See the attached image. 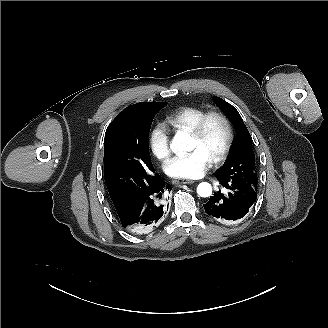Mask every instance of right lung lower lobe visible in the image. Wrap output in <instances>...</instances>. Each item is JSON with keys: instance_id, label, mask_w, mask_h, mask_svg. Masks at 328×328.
<instances>
[{"instance_id": "1", "label": "right lung lower lobe", "mask_w": 328, "mask_h": 328, "mask_svg": "<svg viewBox=\"0 0 328 328\" xmlns=\"http://www.w3.org/2000/svg\"><path fill=\"white\" fill-rule=\"evenodd\" d=\"M170 191V184L165 185L163 178L158 175L148 192L124 207L123 213H118L122 226L136 234L149 233L162 222L167 211L164 193Z\"/></svg>"}]
</instances>
